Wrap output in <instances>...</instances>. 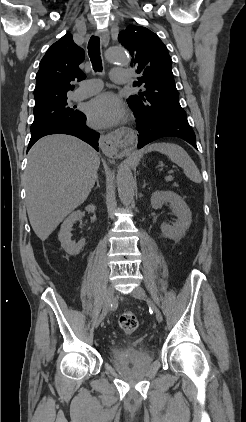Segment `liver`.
Here are the masks:
<instances>
[{"instance_id": "1", "label": "liver", "mask_w": 246, "mask_h": 422, "mask_svg": "<svg viewBox=\"0 0 246 422\" xmlns=\"http://www.w3.org/2000/svg\"><path fill=\"white\" fill-rule=\"evenodd\" d=\"M100 158L70 135H49L28 153L24 173L26 207L32 229L45 241L93 188Z\"/></svg>"}]
</instances>
